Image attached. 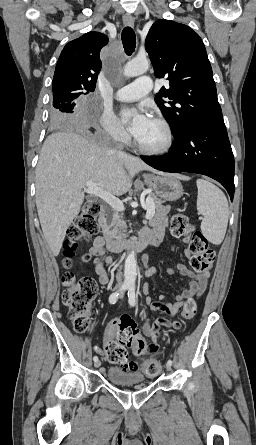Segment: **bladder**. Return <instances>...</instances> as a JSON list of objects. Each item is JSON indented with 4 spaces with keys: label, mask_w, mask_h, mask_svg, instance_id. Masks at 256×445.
Here are the masks:
<instances>
[{
    "label": "bladder",
    "mask_w": 256,
    "mask_h": 445,
    "mask_svg": "<svg viewBox=\"0 0 256 445\" xmlns=\"http://www.w3.org/2000/svg\"><path fill=\"white\" fill-rule=\"evenodd\" d=\"M107 374L109 380L116 385H144L146 383L144 375L134 370L111 367Z\"/></svg>",
    "instance_id": "bladder-1"
}]
</instances>
